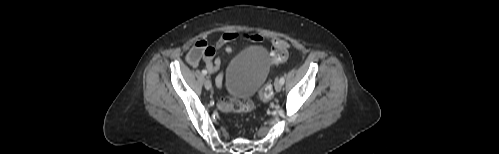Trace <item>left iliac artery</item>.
<instances>
[{"label": "left iliac artery", "mask_w": 499, "mask_h": 154, "mask_svg": "<svg viewBox=\"0 0 499 154\" xmlns=\"http://www.w3.org/2000/svg\"><path fill=\"white\" fill-rule=\"evenodd\" d=\"M284 82H285V78L282 76V77L280 78V83L283 85V84H284Z\"/></svg>", "instance_id": "44dca946"}]
</instances>
